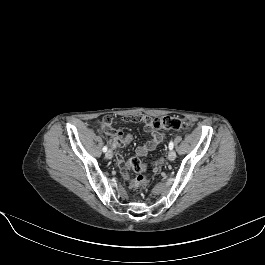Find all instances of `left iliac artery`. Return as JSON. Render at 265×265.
I'll return each mask as SVG.
<instances>
[{"mask_svg":"<svg viewBox=\"0 0 265 265\" xmlns=\"http://www.w3.org/2000/svg\"><path fill=\"white\" fill-rule=\"evenodd\" d=\"M173 147H174V143L172 141H170V143H169V149L172 150Z\"/></svg>","mask_w":265,"mask_h":265,"instance_id":"left-iliac-artery-1","label":"left iliac artery"}]
</instances>
